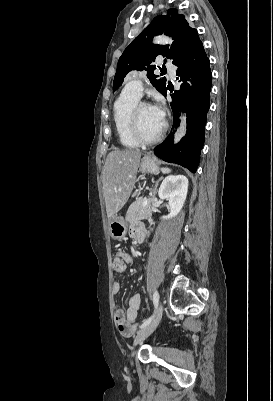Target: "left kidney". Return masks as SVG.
I'll list each match as a JSON object with an SVG mask.
<instances>
[{"mask_svg":"<svg viewBox=\"0 0 273 401\" xmlns=\"http://www.w3.org/2000/svg\"><path fill=\"white\" fill-rule=\"evenodd\" d=\"M188 178L184 174H170L164 178L159 190V198H167L170 213L161 219H173L180 213L187 196Z\"/></svg>","mask_w":273,"mask_h":401,"instance_id":"obj_1","label":"left kidney"}]
</instances>
